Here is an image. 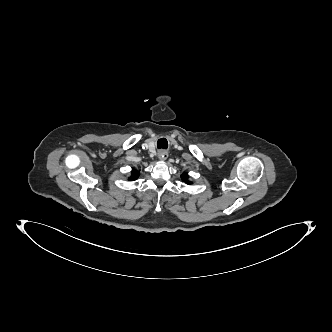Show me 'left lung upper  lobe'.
Segmentation results:
<instances>
[{"label":"left lung upper lobe","instance_id":"5c2ea615","mask_svg":"<svg viewBox=\"0 0 332 332\" xmlns=\"http://www.w3.org/2000/svg\"><path fill=\"white\" fill-rule=\"evenodd\" d=\"M181 178H182V180L185 181L187 184H190V182L188 181V175H187V173H183V174L181 175Z\"/></svg>","mask_w":332,"mask_h":332}]
</instances>
